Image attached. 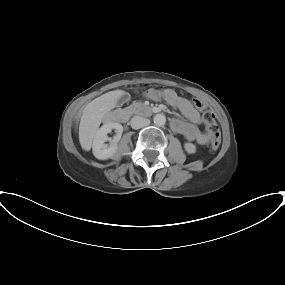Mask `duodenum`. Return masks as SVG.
<instances>
[{"label": "duodenum", "instance_id": "duodenum-1", "mask_svg": "<svg viewBox=\"0 0 285 285\" xmlns=\"http://www.w3.org/2000/svg\"><path fill=\"white\" fill-rule=\"evenodd\" d=\"M131 111L139 115L148 116L154 112V109L144 106V105H140V106L132 108ZM123 114H124L123 112H118L115 115V120H118V121L123 120Z\"/></svg>", "mask_w": 285, "mask_h": 285}]
</instances>
